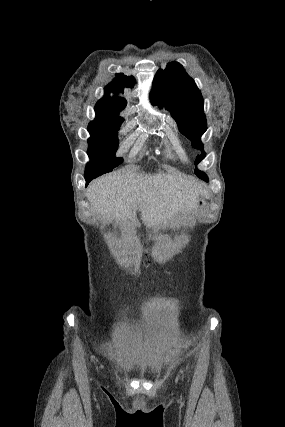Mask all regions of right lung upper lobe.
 <instances>
[{
    "label": "right lung upper lobe",
    "instance_id": "cb5924a9",
    "mask_svg": "<svg viewBox=\"0 0 285 427\" xmlns=\"http://www.w3.org/2000/svg\"><path fill=\"white\" fill-rule=\"evenodd\" d=\"M136 83L133 76L127 77L122 73L116 74V80L105 87L106 94L111 92H123L124 87H133ZM127 101L121 97L104 96L100 99L96 106V118L89 123V126H110L121 124L123 119L118 117V113L125 108Z\"/></svg>",
    "mask_w": 285,
    "mask_h": 427
}]
</instances>
